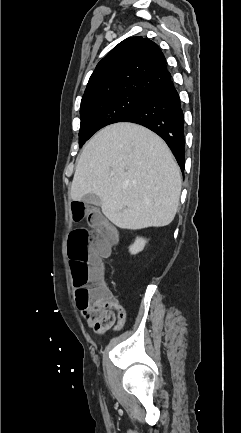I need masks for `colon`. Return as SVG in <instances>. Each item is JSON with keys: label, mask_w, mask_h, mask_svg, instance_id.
<instances>
[{"label": "colon", "mask_w": 241, "mask_h": 433, "mask_svg": "<svg viewBox=\"0 0 241 433\" xmlns=\"http://www.w3.org/2000/svg\"><path fill=\"white\" fill-rule=\"evenodd\" d=\"M70 214L71 221H86L88 217L94 232L91 239L87 229H76L70 235L68 246L78 310L85 312L87 307L106 296L102 285L101 258L108 253L117 238L98 208L87 205L86 200L71 202Z\"/></svg>", "instance_id": "1"}]
</instances>
